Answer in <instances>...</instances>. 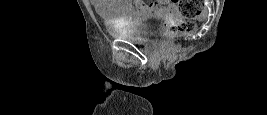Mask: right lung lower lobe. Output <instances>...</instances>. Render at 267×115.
<instances>
[{
    "label": "right lung lower lobe",
    "instance_id": "1",
    "mask_svg": "<svg viewBox=\"0 0 267 115\" xmlns=\"http://www.w3.org/2000/svg\"><path fill=\"white\" fill-rule=\"evenodd\" d=\"M147 91H153V90H151V89H146Z\"/></svg>",
    "mask_w": 267,
    "mask_h": 115
}]
</instances>
